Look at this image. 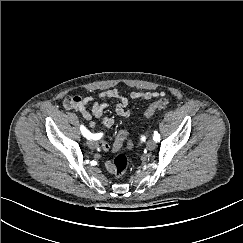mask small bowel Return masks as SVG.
<instances>
[{
  "label": "small bowel",
  "instance_id": "1",
  "mask_svg": "<svg viewBox=\"0 0 243 243\" xmlns=\"http://www.w3.org/2000/svg\"><path fill=\"white\" fill-rule=\"evenodd\" d=\"M163 92L158 91H133L130 93L131 99L139 100H150L153 98L163 96ZM100 98L102 99H113L118 103L115 106V112L122 117H128L130 112L127 108L128 98L125 97L119 90L110 89L100 93ZM93 102L92 111L90 112L87 108L88 104ZM108 107L106 102L94 101L92 97H85L75 106V108L81 113L83 118L89 121L90 127H95L97 125L96 121L92 120L93 117L100 120V122L106 126L111 127L114 124V119L110 116H103L104 110ZM103 151H108L109 146L107 143L102 142L101 144ZM105 167L110 172L113 173L114 167L113 163L109 160L105 161Z\"/></svg>",
  "mask_w": 243,
  "mask_h": 243
}]
</instances>
